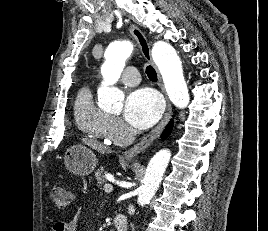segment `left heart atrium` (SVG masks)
<instances>
[{
    "label": "left heart atrium",
    "mask_w": 268,
    "mask_h": 231,
    "mask_svg": "<svg viewBox=\"0 0 268 231\" xmlns=\"http://www.w3.org/2000/svg\"><path fill=\"white\" fill-rule=\"evenodd\" d=\"M163 103L152 89L141 88L130 92L126 98L124 118L136 128H149L161 117Z\"/></svg>",
    "instance_id": "1"
}]
</instances>
